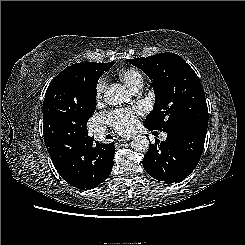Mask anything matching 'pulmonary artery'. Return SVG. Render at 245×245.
I'll list each match as a JSON object with an SVG mask.
<instances>
[{
    "label": "pulmonary artery",
    "mask_w": 245,
    "mask_h": 245,
    "mask_svg": "<svg viewBox=\"0 0 245 245\" xmlns=\"http://www.w3.org/2000/svg\"><path fill=\"white\" fill-rule=\"evenodd\" d=\"M138 89H139V88H138ZM138 89H136L135 92H136ZM104 133H105L104 129L99 128V129H96V131H95V136H96L97 138H101V137L104 135ZM166 137H167V134H166V133H163V134L161 135V139H162V140L166 139Z\"/></svg>",
    "instance_id": "pulmonary-artery-1"
}]
</instances>
